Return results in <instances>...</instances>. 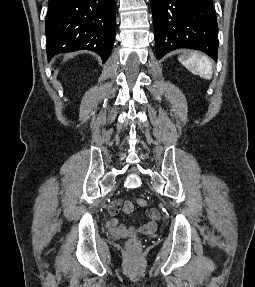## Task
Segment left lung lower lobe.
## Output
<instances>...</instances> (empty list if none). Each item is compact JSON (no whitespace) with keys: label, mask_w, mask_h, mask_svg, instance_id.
I'll return each instance as SVG.
<instances>
[{"label":"left lung lower lobe","mask_w":255,"mask_h":287,"mask_svg":"<svg viewBox=\"0 0 255 287\" xmlns=\"http://www.w3.org/2000/svg\"><path fill=\"white\" fill-rule=\"evenodd\" d=\"M157 58L177 48L202 50L217 60L213 0H150Z\"/></svg>","instance_id":"1"}]
</instances>
